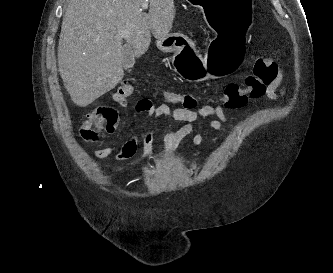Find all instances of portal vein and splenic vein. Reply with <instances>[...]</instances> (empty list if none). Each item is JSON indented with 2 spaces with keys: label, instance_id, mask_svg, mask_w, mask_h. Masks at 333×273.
<instances>
[{
  "label": "portal vein and splenic vein",
  "instance_id": "obj_1",
  "mask_svg": "<svg viewBox=\"0 0 333 273\" xmlns=\"http://www.w3.org/2000/svg\"><path fill=\"white\" fill-rule=\"evenodd\" d=\"M148 8V0H145V2L142 4V9Z\"/></svg>",
  "mask_w": 333,
  "mask_h": 273
}]
</instances>
